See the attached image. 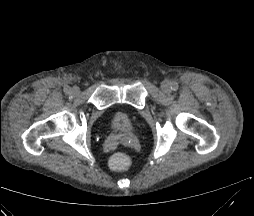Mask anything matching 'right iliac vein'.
I'll use <instances>...</instances> for the list:
<instances>
[{"label": "right iliac vein", "instance_id": "right-iliac-vein-1", "mask_svg": "<svg viewBox=\"0 0 254 216\" xmlns=\"http://www.w3.org/2000/svg\"><path fill=\"white\" fill-rule=\"evenodd\" d=\"M80 93V89L78 88V87H73L72 89H71V94L73 95V96H77L78 94Z\"/></svg>", "mask_w": 254, "mask_h": 216}]
</instances>
